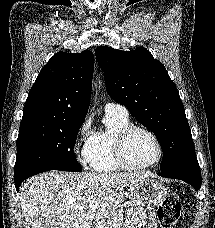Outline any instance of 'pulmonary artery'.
<instances>
[{"label": "pulmonary artery", "mask_w": 215, "mask_h": 228, "mask_svg": "<svg viewBox=\"0 0 215 228\" xmlns=\"http://www.w3.org/2000/svg\"><path fill=\"white\" fill-rule=\"evenodd\" d=\"M105 112H119L125 115H128V110L124 105L116 103H107L105 105Z\"/></svg>", "instance_id": "pulmonary-artery-1"}]
</instances>
